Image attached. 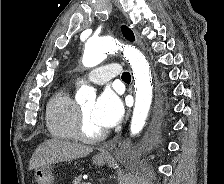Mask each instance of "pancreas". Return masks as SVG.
<instances>
[{
    "label": "pancreas",
    "mask_w": 224,
    "mask_h": 184,
    "mask_svg": "<svg viewBox=\"0 0 224 184\" xmlns=\"http://www.w3.org/2000/svg\"><path fill=\"white\" fill-rule=\"evenodd\" d=\"M81 181V176H78L73 180V184H81Z\"/></svg>",
    "instance_id": "obj_1"
}]
</instances>
